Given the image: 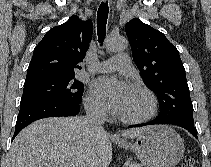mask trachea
<instances>
[{
    "mask_svg": "<svg viewBox=\"0 0 211 167\" xmlns=\"http://www.w3.org/2000/svg\"><path fill=\"white\" fill-rule=\"evenodd\" d=\"M108 1L102 2L97 12V34L98 42L102 45L106 35V23L108 18Z\"/></svg>",
    "mask_w": 211,
    "mask_h": 167,
    "instance_id": "3493384b",
    "label": "trachea"
}]
</instances>
